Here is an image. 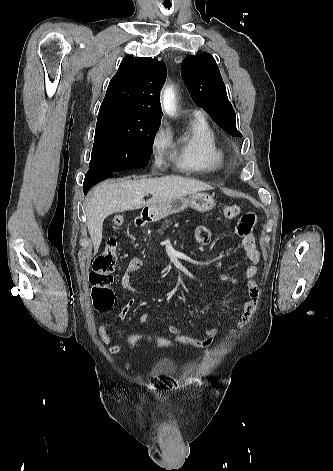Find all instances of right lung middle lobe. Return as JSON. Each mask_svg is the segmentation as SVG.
<instances>
[{"instance_id": "1", "label": "right lung middle lobe", "mask_w": 333, "mask_h": 471, "mask_svg": "<svg viewBox=\"0 0 333 471\" xmlns=\"http://www.w3.org/2000/svg\"><path fill=\"white\" fill-rule=\"evenodd\" d=\"M160 122L121 117L97 119L91 173H117L148 165Z\"/></svg>"}]
</instances>
